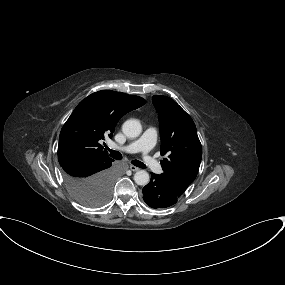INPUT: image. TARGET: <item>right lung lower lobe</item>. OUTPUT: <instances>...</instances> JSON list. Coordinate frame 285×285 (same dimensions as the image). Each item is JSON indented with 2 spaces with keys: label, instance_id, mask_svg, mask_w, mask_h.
Returning a JSON list of instances; mask_svg holds the SVG:
<instances>
[{
  "label": "right lung lower lobe",
  "instance_id": "obj_1",
  "mask_svg": "<svg viewBox=\"0 0 285 285\" xmlns=\"http://www.w3.org/2000/svg\"><path fill=\"white\" fill-rule=\"evenodd\" d=\"M109 156L86 157L62 166L66 183L101 182L111 184L115 178L112 162Z\"/></svg>",
  "mask_w": 285,
  "mask_h": 285
}]
</instances>
